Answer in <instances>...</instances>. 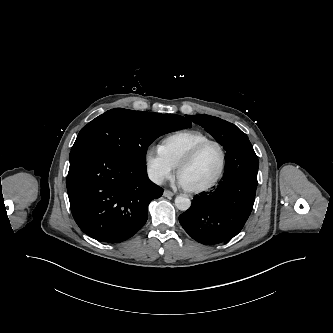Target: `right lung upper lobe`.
I'll use <instances>...</instances> for the list:
<instances>
[{
  "mask_svg": "<svg viewBox=\"0 0 333 333\" xmlns=\"http://www.w3.org/2000/svg\"><path fill=\"white\" fill-rule=\"evenodd\" d=\"M148 113H150V114H153V115H164V114H160V113H151V112H148ZM183 119H185V120H187L186 118H184V117H182ZM187 121H189V120H187ZM190 122V121H189Z\"/></svg>",
  "mask_w": 333,
  "mask_h": 333,
  "instance_id": "right-lung-upper-lobe-1",
  "label": "right lung upper lobe"
}]
</instances>
